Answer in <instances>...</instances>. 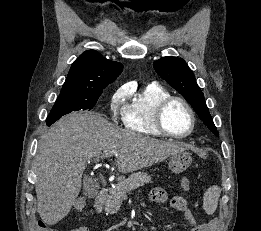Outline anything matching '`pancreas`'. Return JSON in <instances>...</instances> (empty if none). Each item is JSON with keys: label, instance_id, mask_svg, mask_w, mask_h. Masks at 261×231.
<instances>
[{"label": "pancreas", "instance_id": "1", "mask_svg": "<svg viewBox=\"0 0 261 231\" xmlns=\"http://www.w3.org/2000/svg\"><path fill=\"white\" fill-rule=\"evenodd\" d=\"M149 182L151 176L141 171L131 174L128 178L120 177L115 187L109 189V195L105 200V212L117 213L127 193Z\"/></svg>", "mask_w": 261, "mask_h": 231}]
</instances>
